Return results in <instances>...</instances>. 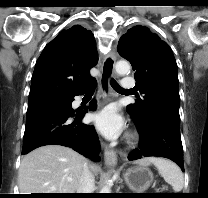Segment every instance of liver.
<instances>
[{"label": "liver", "mask_w": 208, "mask_h": 198, "mask_svg": "<svg viewBox=\"0 0 208 198\" xmlns=\"http://www.w3.org/2000/svg\"><path fill=\"white\" fill-rule=\"evenodd\" d=\"M87 159L61 145H46L30 152L21 161L18 185L21 194L75 193ZM136 163L148 166L151 158ZM98 173L99 167L92 166Z\"/></svg>", "instance_id": "1"}]
</instances>
